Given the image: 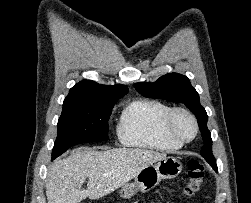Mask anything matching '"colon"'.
<instances>
[{
	"mask_svg": "<svg viewBox=\"0 0 251 203\" xmlns=\"http://www.w3.org/2000/svg\"><path fill=\"white\" fill-rule=\"evenodd\" d=\"M188 180L184 187L186 196H194L197 194L203 185L205 168L198 160H190L187 165Z\"/></svg>",
	"mask_w": 251,
	"mask_h": 203,
	"instance_id": "5ec220e1",
	"label": "colon"
}]
</instances>
